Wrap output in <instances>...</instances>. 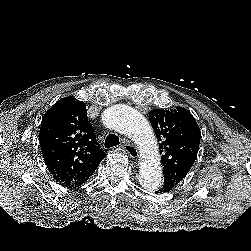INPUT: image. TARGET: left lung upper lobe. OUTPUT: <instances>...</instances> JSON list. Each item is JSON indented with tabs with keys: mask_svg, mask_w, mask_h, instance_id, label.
<instances>
[{
	"mask_svg": "<svg viewBox=\"0 0 251 251\" xmlns=\"http://www.w3.org/2000/svg\"><path fill=\"white\" fill-rule=\"evenodd\" d=\"M149 120L162 153L164 185L180 183L191 169L200 144L201 132L194 117L184 108L154 109Z\"/></svg>",
	"mask_w": 251,
	"mask_h": 251,
	"instance_id": "5c2ea615",
	"label": "left lung upper lobe"
}]
</instances>
